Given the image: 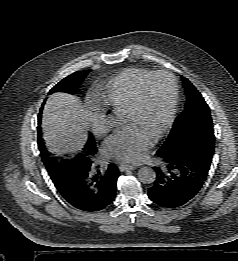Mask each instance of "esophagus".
Here are the masks:
<instances>
[{
  "label": "esophagus",
  "mask_w": 238,
  "mask_h": 261,
  "mask_svg": "<svg viewBox=\"0 0 238 261\" xmlns=\"http://www.w3.org/2000/svg\"><path fill=\"white\" fill-rule=\"evenodd\" d=\"M119 169H120L121 172H123V171H128V170H135L136 167L133 166V165L121 164L119 166Z\"/></svg>",
  "instance_id": "1"
}]
</instances>
